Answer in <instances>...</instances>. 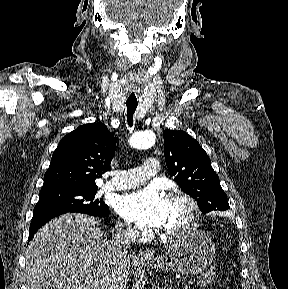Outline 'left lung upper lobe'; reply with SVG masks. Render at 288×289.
Listing matches in <instances>:
<instances>
[{
  "instance_id": "left-lung-upper-lobe-1",
  "label": "left lung upper lobe",
  "mask_w": 288,
  "mask_h": 289,
  "mask_svg": "<svg viewBox=\"0 0 288 289\" xmlns=\"http://www.w3.org/2000/svg\"><path fill=\"white\" fill-rule=\"evenodd\" d=\"M165 160L170 175L180 188L193 197L202 213L230 209L227 195L210 158L199 143L184 131L163 132Z\"/></svg>"
}]
</instances>
